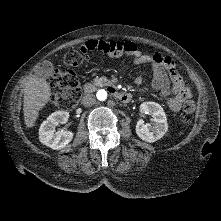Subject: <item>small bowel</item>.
<instances>
[{
  "label": "small bowel",
  "mask_w": 221,
  "mask_h": 221,
  "mask_svg": "<svg viewBox=\"0 0 221 221\" xmlns=\"http://www.w3.org/2000/svg\"><path fill=\"white\" fill-rule=\"evenodd\" d=\"M80 51L85 55L89 52H101L112 57L128 55L135 64H148L152 70V86L160 92L168 108L174 112L181 109L191 94L182 76L178 73L174 61L162 53L145 54L136 43L129 40L91 39L86 41ZM142 76L135 83H142Z\"/></svg>",
  "instance_id": "1"
}]
</instances>
